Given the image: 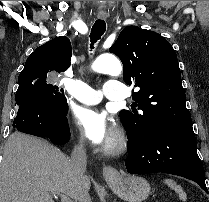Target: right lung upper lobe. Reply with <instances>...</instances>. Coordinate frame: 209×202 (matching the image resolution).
Masks as SVG:
<instances>
[{"instance_id": "obj_1", "label": "right lung upper lobe", "mask_w": 209, "mask_h": 202, "mask_svg": "<svg viewBox=\"0 0 209 202\" xmlns=\"http://www.w3.org/2000/svg\"><path fill=\"white\" fill-rule=\"evenodd\" d=\"M71 43L66 36L56 37L39 46L26 60L20 75L62 72L70 66Z\"/></svg>"}]
</instances>
